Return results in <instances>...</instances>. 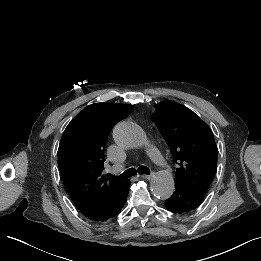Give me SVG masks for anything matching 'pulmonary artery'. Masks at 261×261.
<instances>
[{
	"label": "pulmonary artery",
	"instance_id": "e3ab8cb5",
	"mask_svg": "<svg viewBox=\"0 0 261 261\" xmlns=\"http://www.w3.org/2000/svg\"><path fill=\"white\" fill-rule=\"evenodd\" d=\"M151 142V140L149 139V143ZM155 166L158 170L160 171H165L169 168L170 166V161L167 157L165 156H160L156 159L155 161Z\"/></svg>",
	"mask_w": 261,
	"mask_h": 261
}]
</instances>
